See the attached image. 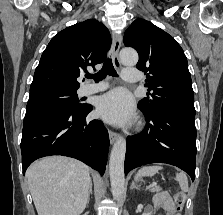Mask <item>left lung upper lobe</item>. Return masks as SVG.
Segmentation results:
<instances>
[{"label": "left lung upper lobe", "instance_id": "1", "mask_svg": "<svg viewBox=\"0 0 223 215\" xmlns=\"http://www.w3.org/2000/svg\"><path fill=\"white\" fill-rule=\"evenodd\" d=\"M124 44L139 54L136 67L149 72L148 98L138 103L146 111L173 110L195 115L194 93L187 58L168 33L145 19H136L124 34Z\"/></svg>", "mask_w": 223, "mask_h": 215}]
</instances>
